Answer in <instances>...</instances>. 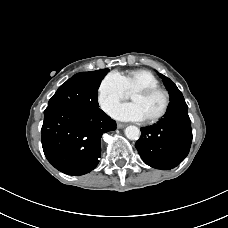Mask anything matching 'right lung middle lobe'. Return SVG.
Instances as JSON below:
<instances>
[{"label":"right lung middle lobe","mask_w":228,"mask_h":228,"mask_svg":"<svg viewBox=\"0 0 228 228\" xmlns=\"http://www.w3.org/2000/svg\"><path fill=\"white\" fill-rule=\"evenodd\" d=\"M108 72L109 69H101L75 74L58 88L49 100L48 107L60 106L83 111L98 108V88Z\"/></svg>","instance_id":"dd1d6c3e"}]
</instances>
